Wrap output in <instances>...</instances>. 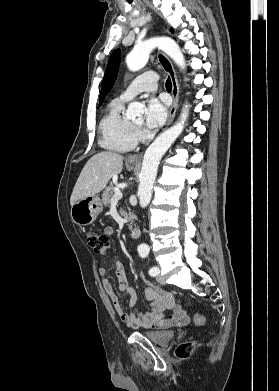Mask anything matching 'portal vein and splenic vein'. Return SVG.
I'll return each mask as SVG.
<instances>
[{
	"label": "portal vein and splenic vein",
	"mask_w": 279,
	"mask_h": 391,
	"mask_svg": "<svg viewBox=\"0 0 279 391\" xmlns=\"http://www.w3.org/2000/svg\"><path fill=\"white\" fill-rule=\"evenodd\" d=\"M122 197H123L122 192L118 188H116L115 193L111 198V203H117Z\"/></svg>",
	"instance_id": "1"
}]
</instances>
